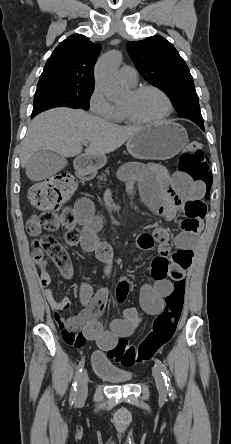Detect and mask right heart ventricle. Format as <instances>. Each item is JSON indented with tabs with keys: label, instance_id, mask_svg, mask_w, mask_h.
<instances>
[{
	"label": "right heart ventricle",
	"instance_id": "right-heart-ventricle-1",
	"mask_svg": "<svg viewBox=\"0 0 231 444\" xmlns=\"http://www.w3.org/2000/svg\"><path fill=\"white\" fill-rule=\"evenodd\" d=\"M124 119H125V117H124V114H123L121 108H117V114H116V117L113 121L120 122V121H123Z\"/></svg>",
	"mask_w": 231,
	"mask_h": 444
}]
</instances>
